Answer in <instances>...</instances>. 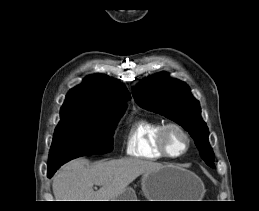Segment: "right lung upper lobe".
<instances>
[{"instance_id":"obj_1","label":"right lung upper lobe","mask_w":259,"mask_h":211,"mask_svg":"<svg viewBox=\"0 0 259 211\" xmlns=\"http://www.w3.org/2000/svg\"><path fill=\"white\" fill-rule=\"evenodd\" d=\"M130 94L120 83L106 76H87L82 84L71 89L60 110L64 115L73 111L92 113L124 112Z\"/></svg>"}]
</instances>
